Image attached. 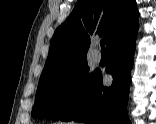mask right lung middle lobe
Listing matches in <instances>:
<instances>
[{
	"instance_id": "right-lung-middle-lobe-1",
	"label": "right lung middle lobe",
	"mask_w": 156,
	"mask_h": 124,
	"mask_svg": "<svg viewBox=\"0 0 156 124\" xmlns=\"http://www.w3.org/2000/svg\"><path fill=\"white\" fill-rule=\"evenodd\" d=\"M87 62L39 80L32 116L60 120L77 105L98 75Z\"/></svg>"
}]
</instances>
